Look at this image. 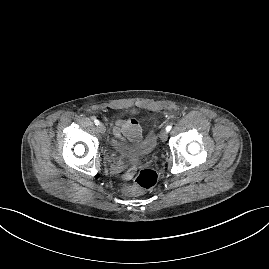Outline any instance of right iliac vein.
Returning <instances> with one entry per match:
<instances>
[{
  "label": "right iliac vein",
  "instance_id": "right-iliac-vein-1",
  "mask_svg": "<svg viewBox=\"0 0 269 269\" xmlns=\"http://www.w3.org/2000/svg\"><path fill=\"white\" fill-rule=\"evenodd\" d=\"M98 130L101 134H104L106 132V128L103 124H99Z\"/></svg>",
  "mask_w": 269,
  "mask_h": 269
}]
</instances>
